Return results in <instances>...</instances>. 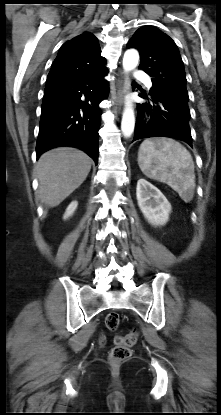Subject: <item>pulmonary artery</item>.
I'll list each match as a JSON object with an SVG mask.
<instances>
[{
    "instance_id": "obj_1",
    "label": "pulmonary artery",
    "mask_w": 221,
    "mask_h": 415,
    "mask_svg": "<svg viewBox=\"0 0 221 415\" xmlns=\"http://www.w3.org/2000/svg\"><path fill=\"white\" fill-rule=\"evenodd\" d=\"M135 78L139 81L144 82L148 88L152 87V82L146 73L142 71H137L135 72Z\"/></svg>"
}]
</instances>
